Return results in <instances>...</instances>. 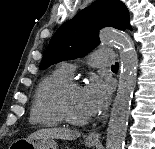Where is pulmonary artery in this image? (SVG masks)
I'll return each instance as SVG.
<instances>
[{"label": "pulmonary artery", "instance_id": "1", "mask_svg": "<svg viewBox=\"0 0 155 149\" xmlns=\"http://www.w3.org/2000/svg\"><path fill=\"white\" fill-rule=\"evenodd\" d=\"M114 52L109 48H101L93 51L89 58V63L93 66H108L114 64ZM62 71L69 77L72 76L75 65L70 62H63L60 64Z\"/></svg>", "mask_w": 155, "mask_h": 149}]
</instances>
